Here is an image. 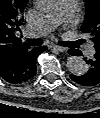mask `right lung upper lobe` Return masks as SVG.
Here are the masks:
<instances>
[{"label": "right lung upper lobe", "mask_w": 100, "mask_h": 118, "mask_svg": "<svg viewBox=\"0 0 100 118\" xmlns=\"http://www.w3.org/2000/svg\"><path fill=\"white\" fill-rule=\"evenodd\" d=\"M28 0H0V64L17 57L29 48L21 44L16 31L23 25V10Z\"/></svg>", "instance_id": "1"}]
</instances>
